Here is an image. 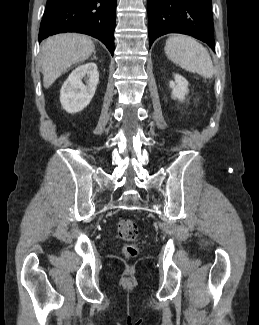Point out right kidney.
Wrapping results in <instances>:
<instances>
[{
    "instance_id": "ca27d5eb",
    "label": "right kidney",
    "mask_w": 259,
    "mask_h": 325,
    "mask_svg": "<svg viewBox=\"0 0 259 325\" xmlns=\"http://www.w3.org/2000/svg\"><path fill=\"white\" fill-rule=\"evenodd\" d=\"M85 77L86 85L82 82ZM99 73L97 65L89 62L78 66L64 82L60 91V102L68 113H76L86 108L93 98Z\"/></svg>"
}]
</instances>
